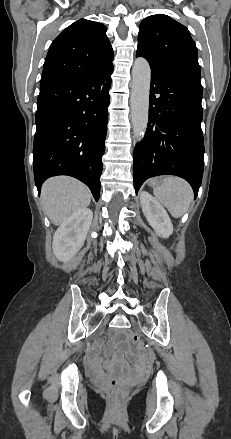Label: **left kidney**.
I'll return each mask as SVG.
<instances>
[{"mask_svg": "<svg viewBox=\"0 0 231 439\" xmlns=\"http://www.w3.org/2000/svg\"><path fill=\"white\" fill-rule=\"evenodd\" d=\"M142 211L155 232L163 238L173 233V225L163 206L148 192L140 194Z\"/></svg>", "mask_w": 231, "mask_h": 439, "instance_id": "obj_1", "label": "left kidney"}]
</instances>
